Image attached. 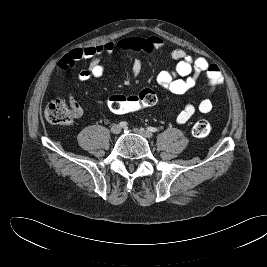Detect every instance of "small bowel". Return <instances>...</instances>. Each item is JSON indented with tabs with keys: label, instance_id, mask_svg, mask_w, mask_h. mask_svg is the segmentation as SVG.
<instances>
[{
	"label": "small bowel",
	"instance_id": "small-bowel-1",
	"mask_svg": "<svg viewBox=\"0 0 267 267\" xmlns=\"http://www.w3.org/2000/svg\"><path fill=\"white\" fill-rule=\"evenodd\" d=\"M164 41L156 36L149 37H127L112 40L104 44L75 48L64 55L58 62L57 68L60 71L71 69L76 61L88 60L89 66L78 73V80L82 83L104 76L105 67L101 62V55L114 50H124L135 53H152L162 50ZM170 57L176 61L172 70L160 71L156 76V82L162 88L174 93L184 94L196 84L200 75L207 78L209 92L214 93L224 82L223 75L216 64L208 62L204 57H194L182 48H173ZM142 70V61L136 58L132 65V74L139 77ZM68 101L75 116L82 114V108L71 94H68ZM213 108V103L209 98L202 99L197 105L187 103L176 117L178 124L187 123L196 111L206 114Z\"/></svg>",
	"mask_w": 267,
	"mask_h": 267
}]
</instances>
